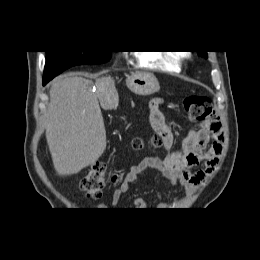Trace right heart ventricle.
I'll return each instance as SVG.
<instances>
[{
	"mask_svg": "<svg viewBox=\"0 0 260 260\" xmlns=\"http://www.w3.org/2000/svg\"><path fill=\"white\" fill-rule=\"evenodd\" d=\"M138 61L144 66H153L169 72H178L184 57L175 53L156 54L142 52L137 55Z\"/></svg>",
	"mask_w": 260,
	"mask_h": 260,
	"instance_id": "e07e8e85",
	"label": "right heart ventricle"
}]
</instances>
